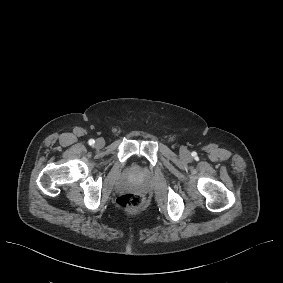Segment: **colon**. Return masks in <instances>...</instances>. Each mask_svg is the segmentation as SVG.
<instances>
[{
  "instance_id": "1",
  "label": "colon",
  "mask_w": 283,
  "mask_h": 283,
  "mask_svg": "<svg viewBox=\"0 0 283 283\" xmlns=\"http://www.w3.org/2000/svg\"><path fill=\"white\" fill-rule=\"evenodd\" d=\"M117 204L124 209L137 210L143 204V197L136 193L124 194L117 198Z\"/></svg>"
}]
</instances>
